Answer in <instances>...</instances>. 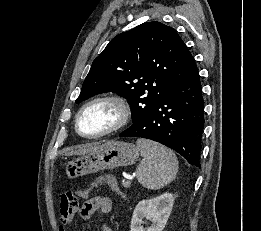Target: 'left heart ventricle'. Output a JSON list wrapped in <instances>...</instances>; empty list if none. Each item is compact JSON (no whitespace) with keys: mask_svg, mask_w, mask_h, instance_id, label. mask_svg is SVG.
I'll list each match as a JSON object with an SVG mask.
<instances>
[{"mask_svg":"<svg viewBox=\"0 0 261 231\" xmlns=\"http://www.w3.org/2000/svg\"><path fill=\"white\" fill-rule=\"evenodd\" d=\"M118 119L119 112L116 106L108 102H99L82 113L79 128L84 134H97L114 126Z\"/></svg>","mask_w":261,"mask_h":231,"instance_id":"1","label":"left heart ventricle"}]
</instances>
